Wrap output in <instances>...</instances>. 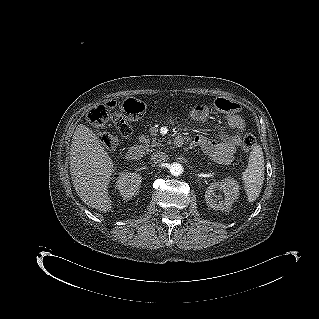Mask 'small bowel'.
I'll use <instances>...</instances> for the list:
<instances>
[{
  "instance_id": "obj_1",
  "label": "small bowel",
  "mask_w": 319,
  "mask_h": 319,
  "mask_svg": "<svg viewBox=\"0 0 319 319\" xmlns=\"http://www.w3.org/2000/svg\"><path fill=\"white\" fill-rule=\"evenodd\" d=\"M226 122L229 128L242 130L244 128L243 119L236 113L228 114ZM217 133L216 139L197 134L191 140V146H200L201 149L219 163H228L232 159L235 146L239 142V137L231 135L228 130L220 125H215Z\"/></svg>"
}]
</instances>
